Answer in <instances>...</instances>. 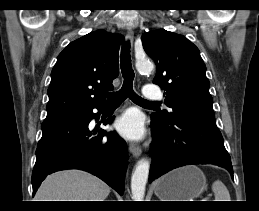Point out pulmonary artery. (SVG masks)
<instances>
[{"label":"pulmonary artery","instance_id":"1","mask_svg":"<svg viewBox=\"0 0 259 211\" xmlns=\"http://www.w3.org/2000/svg\"><path fill=\"white\" fill-rule=\"evenodd\" d=\"M143 94L144 98L147 100H160L163 97L162 92L153 84L145 85Z\"/></svg>","mask_w":259,"mask_h":211}]
</instances>
